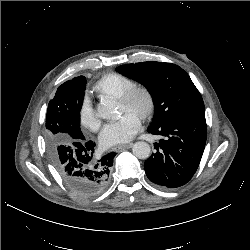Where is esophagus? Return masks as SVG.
Masks as SVG:
<instances>
[{
	"instance_id": "esophagus-1",
	"label": "esophagus",
	"mask_w": 250,
	"mask_h": 250,
	"mask_svg": "<svg viewBox=\"0 0 250 250\" xmlns=\"http://www.w3.org/2000/svg\"><path fill=\"white\" fill-rule=\"evenodd\" d=\"M131 146H132V143L123 144V145H118V146H116V147L113 148V151L119 152V151H121V150L130 148Z\"/></svg>"
}]
</instances>
